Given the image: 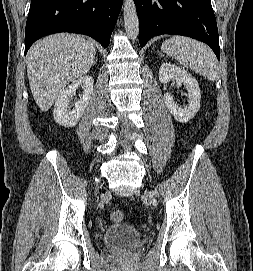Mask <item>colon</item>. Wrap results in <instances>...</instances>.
<instances>
[{"label":"colon","instance_id":"colon-1","mask_svg":"<svg viewBox=\"0 0 253 271\" xmlns=\"http://www.w3.org/2000/svg\"><path fill=\"white\" fill-rule=\"evenodd\" d=\"M110 217L114 222H121L124 219V214L120 210H115L111 213Z\"/></svg>","mask_w":253,"mask_h":271}]
</instances>
